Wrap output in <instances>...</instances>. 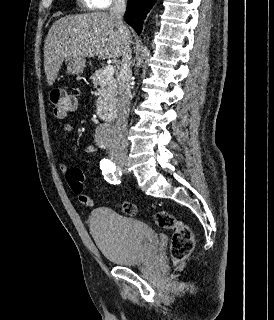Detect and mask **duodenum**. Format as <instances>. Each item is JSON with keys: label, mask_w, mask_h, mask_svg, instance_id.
<instances>
[{"label": "duodenum", "mask_w": 274, "mask_h": 320, "mask_svg": "<svg viewBox=\"0 0 274 320\" xmlns=\"http://www.w3.org/2000/svg\"><path fill=\"white\" fill-rule=\"evenodd\" d=\"M117 116V112L115 109H105L101 108L98 110V117L101 121H113Z\"/></svg>", "instance_id": "duodenum-1"}]
</instances>
